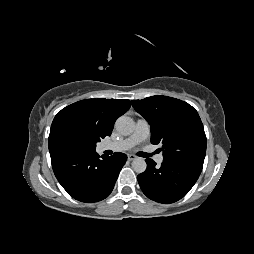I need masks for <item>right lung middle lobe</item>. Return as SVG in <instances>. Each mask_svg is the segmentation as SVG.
<instances>
[{
    "instance_id": "dd1d6c3e",
    "label": "right lung middle lobe",
    "mask_w": 254,
    "mask_h": 254,
    "mask_svg": "<svg viewBox=\"0 0 254 254\" xmlns=\"http://www.w3.org/2000/svg\"><path fill=\"white\" fill-rule=\"evenodd\" d=\"M70 137L75 142H79L82 139V135L79 132H73ZM95 148H96V146L94 144V147L92 148V151H95Z\"/></svg>"
}]
</instances>
